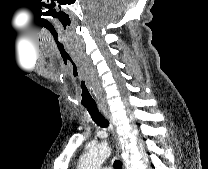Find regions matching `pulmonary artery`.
Instances as JSON below:
<instances>
[{
    "instance_id": "obj_1",
    "label": "pulmonary artery",
    "mask_w": 208,
    "mask_h": 169,
    "mask_svg": "<svg viewBox=\"0 0 208 169\" xmlns=\"http://www.w3.org/2000/svg\"><path fill=\"white\" fill-rule=\"evenodd\" d=\"M100 169H112L110 166H102Z\"/></svg>"
}]
</instances>
